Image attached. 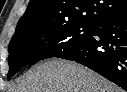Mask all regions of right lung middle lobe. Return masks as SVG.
Segmentation results:
<instances>
[{
	"label": "right lung middle lobe",
	"instance_id": "1",
	"mask_svg": "<svg viewBox=\"0 0 127 92\" xmlns=\"http://www.w3.org/2000/svg\"><path fill=\"white\" fill-rule=\"evenodd\" d=\"M94 25L75 23L62 26L38 27L11 39L9 50V72L11 78L24 65L65 53L75 45L88 39Z\"/></svg>",
	"mask_w": 127,
	"mask_h": 92
}]
</instances>
